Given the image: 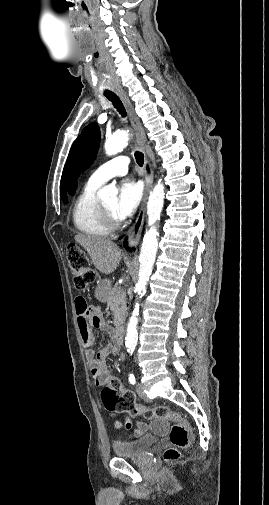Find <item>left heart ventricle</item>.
Segmentation results:
<instances>
[{
    "instance_id": "b2bd125f",
    "label": "left heart ventricle",
    "mask_w": 269,
    "mask_h": 505,
    "mask_svg": "<svg viewBox=\"0 0 269 505\" xmlns=\"http://www.w3.org/2000/svg\"><path fill=\"white\" fill-rule=\"evenodd\" d=\"M117 199L111 198L110 200L106 201L103 203V205L113 214L115 215V206H116ZM116 216V215H115Z\"/></svg>"
}]
</instances>
